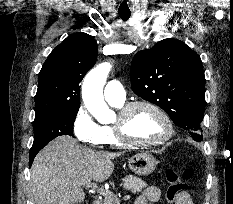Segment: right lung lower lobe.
<instances>
[{
  "instance_id": "1",
  "label": "right lung lower lobe",
  "mask_w": 233,
  "mask_h": 204,
  "mask_svg": "<svg viewBox=\"0 0 233 204\" xmlns=\"http://www.w3.org/2000/svg\"><path fill=\"white\" fill-rule=\"evenodd\" d=\"M43 147H32L30 151V160H29V165L31 166L35 156L37 153L42 149Z\"/></svg>"
}]
</instances>
